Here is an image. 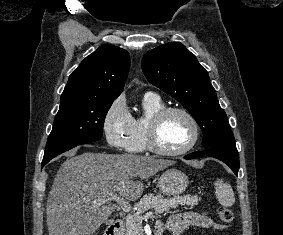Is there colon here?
I'll return each mask as SVG.
<instances>
[{
  "label": "colon",
  "instance_id": "colon-1",
  "mask_svg": "<svg viewBox=\"0 0 283 235\" xmlns=\"http://www.w3.org/2000/svg\"><path fill=\"white\" fill-rule=\"evenodd\" d=\"M218 217L224 223H230L233 220V212L226 207H220L218 209Z\"/></svg>",
  "mask_w": 283,
  "mask_h": 235
}]
</instances>
